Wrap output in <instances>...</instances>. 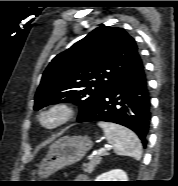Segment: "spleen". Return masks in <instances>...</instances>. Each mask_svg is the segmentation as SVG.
Listing matches in <instances>:
<instances>
[{"instance_id":"spleen-1","label":"spleen","mask_w":178,"mask_h":186,"mask_svg":"<svg viewBox=\"0 0 178 186\" xmlns=\"http://www.w3.org/2000/svg\"><path fill=\"white\" fill-rule=\"evenodd\" d=\"M106 139L118 155L129 156L140 160L142 145L137 135L131 130L110 122H99Z\"/></svg>"}]
</instances>
